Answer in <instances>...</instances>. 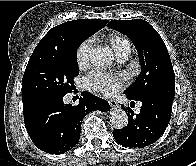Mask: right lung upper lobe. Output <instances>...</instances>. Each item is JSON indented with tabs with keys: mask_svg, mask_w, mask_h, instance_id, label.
<instances>
[{
	"mask_svg": "<svg viewBox=\"0 0 196 166\" xmlns=\"http://www.w3.org/2000/svg\"><path fill=\"white\" fill-rule=\"evenodd\" d=\"M108 20L78 19L60 24L48 31L41 39L39 47L64 48L68 46L74 37L85 40L95 32L106 26Z\"/></svg>",
	"mask_w": 196,
	"mask_h": 166,
	"instance_id": "obj_1",
	"label": "right lung upper lobe"
}]
</instances>
